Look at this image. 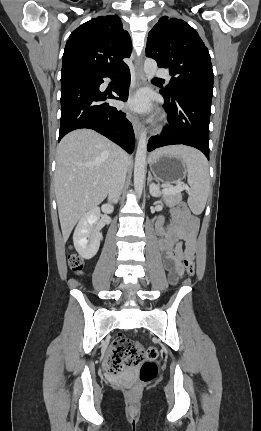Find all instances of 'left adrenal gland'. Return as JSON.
Listing matches in <instances>:
<instances>
[{"instance_id":"1","label":"left adrenal gland","mask_w":261,"mask_h":431,"mask_svg":"<svg viewBox=\"0 0 261 431\" xmlns=\"http://www.w3.org/2000/svg\"><path fill=\"white\" fill-rule=\"evenodd\" d=\"M153 178H152V175H151V173L149 172V175H148V183L152 180Z\"/></svg>"}]
</instances>
